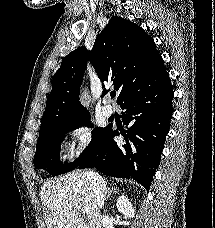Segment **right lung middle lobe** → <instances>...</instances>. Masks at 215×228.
Masks as SVG:
<instances>
[{
	"instance_id": "obj_1",
	"label": "right lung middle lobe",
	"mask_w": 215,
	"mask_h": 228,
	"mask_svg": "<svg viewBox=\"0 0 215 228\" xmlns=\"http://www.w3.org/2000/svg\"><path fill=\"white\" fill-rule=\"evenodd\" d=\"M90 116L83 119L53 123L40 128L37 141L34 165L36 169H45L51 175H60L75 169L85 158H87L106 138L111 126L95 128L92 131V140L80 156L72 163L63 164L60 161V146L65 134L81 126H90Z\"/></svg>"
}]
</instances>
